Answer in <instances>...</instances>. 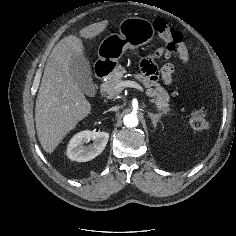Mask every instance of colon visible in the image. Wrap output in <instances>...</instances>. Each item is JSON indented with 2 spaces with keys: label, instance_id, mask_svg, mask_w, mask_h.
Wrapping results in <instances>:
<instances>
[{
  "label": "colon",
  "instance_id": "colon-1",
  "mask_svg": "<svg viewBox=\"0 0 236 236\" xmlns=\"http://www.w3.org/2000/svg\"><path fill=\"white\" fill-rule=\"evenodd\" d=\"M154 29L160 38L166 42L167 50L180 51L185 48L181 33L169 26L164 20L157 19L154 23ZM209 126L210 123L204 110L198 109L191 113L189 117V127L191 130L200 132L207 130Z\"/></svg>",
  "mask_w": 236,
  "mask_h": 236
}]
</instances>
